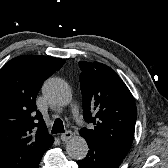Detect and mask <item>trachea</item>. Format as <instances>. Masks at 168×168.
Returning <instances> with one entry per match:
<instances>
[{"instance_id": "trachea-1", "label": "trachea", "mask_w": 168, "mask_h": 168, "mask_svg": "<svg viewBox=\"0 0 168 168\" xmlns=\"http://www.w3.org/2000/svg\"><path fill=\"white\" fill-rule=\"evenodd\" d=\"M52 133H63L65 132L64 130V125L61 119H56L53 127H52Z\"/></svg>"}]
</instances>
